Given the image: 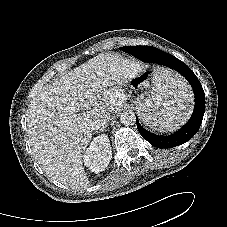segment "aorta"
Wrapping results in <instances>:
<instances>
[{"mask_svg":"<svg viewBox=\"0 0 227 227\" xmlns=\"http://www.w3.org/2000/svg\"><path fill=\"white\" fill-rule=\"evenodd\" d=\"M120 121L125 126L134 125L136 123V116L132 111H124L120 115Z\"/></svg>","mask_w":227,"mask_h":227,"instance_id":"obj_1","label":"aorta"}]
</instances>
